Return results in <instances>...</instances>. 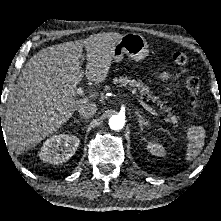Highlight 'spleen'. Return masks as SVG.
<instances>
[{
  "instance_id": "1",
  "label": "spleen",
  "mask_w": 221,
  "mask_h": 221,
  "mask_svg": "<svg viewBox=\"0 0 221 221\" xmlns=\"http://www.w3.org/2000/svg\"><path fill=\"white\" fill-rule=\"evenodd\" d=\"M205 129L202 126H192L188 129L186 134L187 149L186 160H193L199 154L204 146Z\"/></svg>"
}]
</instances>
